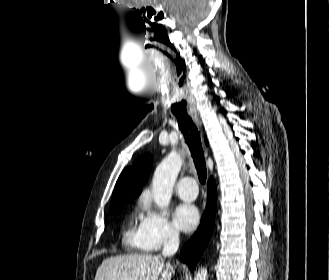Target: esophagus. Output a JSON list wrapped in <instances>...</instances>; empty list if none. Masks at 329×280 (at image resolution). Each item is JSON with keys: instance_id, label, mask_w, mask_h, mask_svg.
Instances as JSON below:
<instances>
[{"instance_id": "1", "label": "esophagus", "mask_w": 329, "mask_h": 280, "mask_svg": "<svg viewBox=\"0 0 329 280\" xmlns=\"http://www.w3.org/2000/svg\"><path fill=\"white\" fill-rule=\"evenodd\" d=\"M190 116L192 117L193 121L199 125L200 124V119H199V114L197 113V111H193L190 113Z\"/></svg>"}]
</instances>
